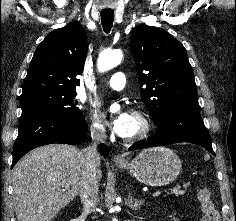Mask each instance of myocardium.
I'll return each mask as SVG.
<instances>
[{
    "label": "myocardium",
    "instance_id": "myocardium-1",
    "mask_svg": "<svg viewBox=\"0 0 236 221\" xmlns=\"http://www.w3.org/2000/svg\"><path fill=\"white\" fill-rule=\"evenodd\" d=\"M132 115L139 120L140 130L136 134L129 136V137H124L123 139L127 143L141 142L150 136V134L153 130V122H152L151 118L149 117V115H147L143 111L134 110L132 112Z\"/></svg>",
    "mask_w": 236,
    "mask_h": 221
}]
</instances>
